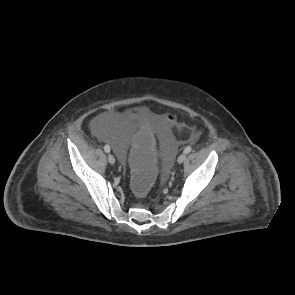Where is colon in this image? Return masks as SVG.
I'll list each match as a JSON object with an SVG mask.
<instances>
[{
	"label": "colon",
	"mask_w": 295,
	"mask_h": 295,
	"mask_svg": "<svg viewBox=\"0 0 295 295\" xmlns=\"http://www.w3.org/2000/svg\"><path fill=\"white\" fill-rule=\"evenodd\" d=\"M124 119L126 127H134L136 132L135 146L131 149L130 155L137 163L132 167L130 181L136 188V193L143 196L153 186L156 174V150L152 142L154 135L148 122L153 119V114L149 112L125 113ZM164 119L174 121V112H165Z\"/></svg>",
	"instance_id": "1"
}]
</instances>
